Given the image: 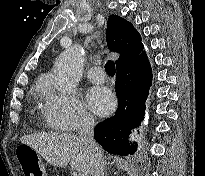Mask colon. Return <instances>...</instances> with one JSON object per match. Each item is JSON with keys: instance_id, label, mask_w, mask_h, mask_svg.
Wrapping results in <instances>:
<instances>
[{"instance_id": "1", "label": "colon", "mask_w": 205, "mask_h": 176, "mask_svg": "<svg viewBox=\"0 0 205 176\" xmlns=\"http://www.w3.org/2000/svg\"><path fill=\"white\" fill-rule=\"evenodd\" d=\"M17 159L22 166L24 176H44V165L39 155L32 150L17 152Z\"/></svg>"}]
</instances>
